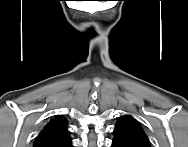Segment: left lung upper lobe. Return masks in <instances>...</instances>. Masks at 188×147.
Returning <instances> with one entry per match:
<instances>
[{
    "mask_svg": "<svg viewBox=\"0 0 188 147\" xmlns=\"http://www.w3.org/2000/svg\"><path fill=\"white\" fill-rule=\"evenodd\" d=\"M112 147H150L142 126L130 115L118 117Z\"/></svg>",
    "mask_w": 188,
    "mask_h": 147,
    "instance_id": "left-lung-upper-lobe-1",
    "label": "left lung upper lobe"
}]
</instances>
